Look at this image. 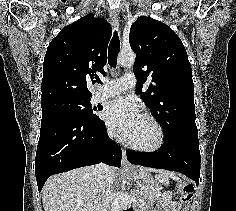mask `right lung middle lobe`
Segmentation results:
<instances>
[{
  "label": "right lung middle lobe",
  "instance_id": "right-lung-middle-lobe-1",
  "mask_svg": "<svg viewBox=\"0 0 236 211\" xmlns=\"http://www.w3.org/2000/svg\"><path fill=\"white\" fill-rule=\"evenodd\" d=\"M42 117L66 116L77 120L97 121L99 117L94 113L90 99L58 98L41 104Z\"/></svg>",
  "mask_w": 236,
  "mask_h": 211
}]
</instances>
